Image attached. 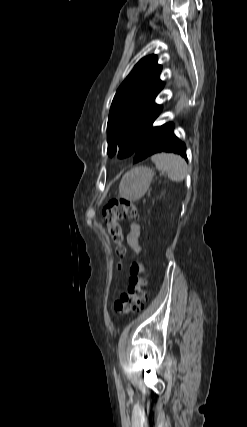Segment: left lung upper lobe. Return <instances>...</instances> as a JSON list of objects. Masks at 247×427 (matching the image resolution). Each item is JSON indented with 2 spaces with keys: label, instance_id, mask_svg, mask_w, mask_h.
I'll list each match as a JSON object with an SVG mask.
<instances>
[{
  "label": "left lung upper lobe",
  "instance_id": "left-lung-upper-lobe-1",
  "mask_svg": "<svg viewBox=\"0 0 247 427\" xmlns=\"http://www.w3.org/2000/svg\"><path fill=\"white\" fill-rule=\"evenodd\" d=\"M161 69L156 55L145 57L118 88L107 125L109 156L118 149L119 158L135 154L146 131L160 114L162 108L154 100L164 87L159 79Z\"/></svg>",
  "mask_w": 247,
  "mask_h": 427
}]
</instances>
